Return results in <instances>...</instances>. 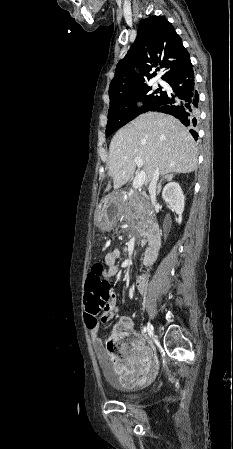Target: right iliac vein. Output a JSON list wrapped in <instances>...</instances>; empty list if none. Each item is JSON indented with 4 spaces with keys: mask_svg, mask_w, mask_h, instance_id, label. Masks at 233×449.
<instances>
[{
    "mask_svg": "<svg viewBox=\"0 0 233 449\" xmlns=\"http://www.w3.org/2000/svg\"><path fill=\"white\" fill-rule=\"evenodd\" d=\"M152 325H151V323L149 322L148 323V329H149V334H150V337H153L154 336V329L151 327Z\"/></svg>",
    "mask_w": 233,
    "mask_h": 449,
    "instance_id": "obj_1",
    "label": "right iliac vein"
}]
</instances>
